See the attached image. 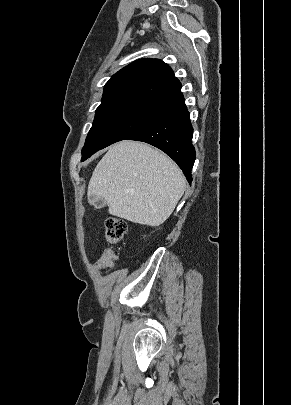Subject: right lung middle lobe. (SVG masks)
Here are the masks:
<instances>
[{"instance_id": "obj_1", "label": "right lung middle lobe", "mask_w": 291, "mask_h": 405, "mask_svg": "<svg viewBox=\"0 0 291 405\" xmlns=\"http://www.w3.org/2000/svg\"><path fill=\"white\" fill-rule=\"evenodd\" d=\"M169 107V104L145 99H130L100 105L82 149V161L112 143L125 140L151 123Z\"/></svg>"}]
</instances>
